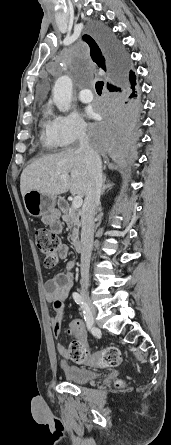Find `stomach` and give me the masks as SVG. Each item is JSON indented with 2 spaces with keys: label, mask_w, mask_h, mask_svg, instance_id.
I'll use <instances>...</instances> for the list:
<instances>
[{
  "label": "stomach",
  "mask_w": 171,
  "mask_h": 445,
  "mask_svg": "<svg viewBox=\"0 0 171 445\" xmlns=\"http://www.w3.org/2000/svg\"><path fill=\"white\" fill-rule=\"evenodd\" d=\"M23 201L25 209L30 216L40 217L49 215L53 221L59 219V211L55 209L56 197L36 190H30L24 194Z\"/></svg>",
  "instance_id": "0dacf381"
}]
</instances>
